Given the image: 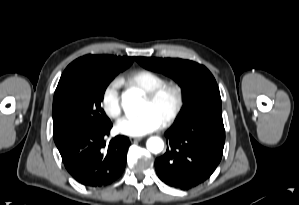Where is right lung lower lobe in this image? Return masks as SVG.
I'll return each instance as SVG.
<instances>
[{"instance_id":"1","label":"right lung lower lobe","mask_w":299,"mask_h":205,"mask_svg":"<svg viewBox=\"0 0 299 205\" xmlns=\"http://www.w3.org/2000/svg\"><path fill=\"white\" fill-rule=\"evenodd\" d=\"M111 127L112 123L77 133L58 147L67 171L79 183L107 186L124 171L130 141L125 136H116L105 146L103 139L109 135Z\"/></svg>"}]
</instances>
